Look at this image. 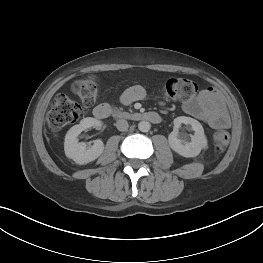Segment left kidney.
I'll list each match as a JSON object with an SVG mask.
<instances>
[{"label": "left kidney", "mask_w": 263, "mask_h": 263, "mask_svg": "<svg viewBox=\"0 0 263 263\" xmlns=\"http://www.w3.org/2000/svg\"><path fill=\"white\" fill-rule=\"evenodd\" d=\"M173 123L174 128L168 136V141L170 147L176 153L183 157H195L199 155L202 149L207 147V138L200 122L191 117L180 116L175 118ZM182 123L191 125L192 130L195 131L191 137V142L183 140L179 133Z\"/></svg>", "instance_id": "left-kidney-1"}]
</instances>
